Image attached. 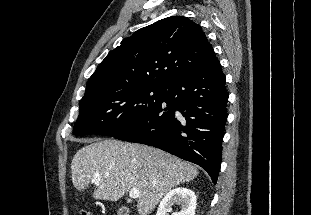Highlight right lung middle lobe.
<instances>
[{
	"label": "right lung middle lobe",
	"mask_w": 311,
	"mask_h": 215,
	"mask_svg": "<svg viewBox=\"0 0 311 215\" xmlns=\"http://www.w3.org/2000/svg\"><path fill=\"white\" fill-rule=\"evenodd\" d=\"M163 87H132L97 93L80 101L75 136H115L150 115L161 104Z\"/></svg>",
	"instance_id": "1"
}]
</instances>
